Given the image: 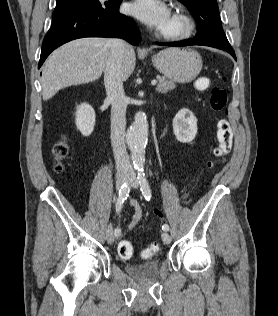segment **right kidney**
<instances>
[{
    "label": "right kidney",
    "instance_id": "1",
    "mask_svg": "<svg viewBox=\"0 0 278 316\" xmlns=\"http://www.w3.org/2000/svg\"><path fill=\"white\" fill-rule=\"evenodd\" d=\"M95 111L86 103L77 107L76 126L83 136H89L93 132L95 125Z\"/></svg>",
    "mask_w": 278,
    "mask_h": 316
}]
</instances>
